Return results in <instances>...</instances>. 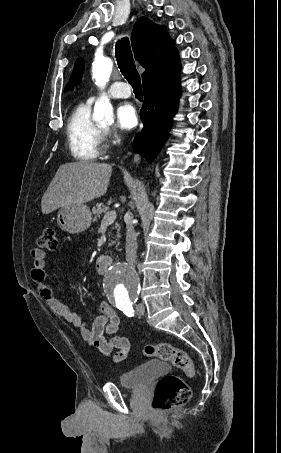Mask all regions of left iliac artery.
<instances>
[{"label": "left iliac artery", "mask_w": 281, "mask_h": 453, "mask_svg": "<svg viewBox=\"0 0 281 453\" xmlns=\"http://www.w3.org/2000/svg\"><path fill=\"white\" fill-rule=\"evenodd\" d=\"M119 310L123 311L128 317L134 316V310L132 304L122 305L117 307Z\"/></svg>", "instance_id": "left-iliac-artery-1"}]
</instances>
